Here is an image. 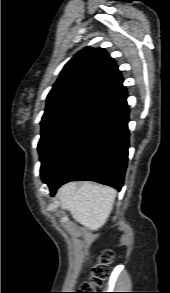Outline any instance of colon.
Instances as JSON below:
<instances>
[{
	"instance_id": "obj_1",
	"label": "colon",
	"mask_w": 170,
	"mask_h": 293,
	"mask_svg": "<svg viewBox=\"0 0 170 293\" xmlns=\"http://www.w3.org/2000/svg\"><path fill=\"white\" fill-rule=\"evenodd\" d=\"M115 253L107 250L99 260L93 265L91 277L88 282H84L77 292L74 293H96L108 276L109 267L114 259Z\"/></svg>"
}]
</instances>
